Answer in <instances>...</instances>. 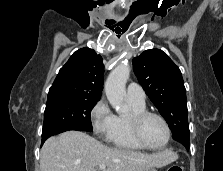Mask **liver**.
<instances>
[{"label": "liver", "mask_w": 223, "mask_h": 171, "mask_svg": "<svg viewBox=\"0 0 223 171\" xmlns=\"http://www.w3.org/2000/svg\"><path fill=\"white\" fill-rule=\"evenodd\" d=\"M177 156L168 150L144 154L103 145L79 131H68L46 140L41 149V171H95L105 164L104 171H143L163 167Z\"/></svg>", "instance_id": "1"}]
</instances>
